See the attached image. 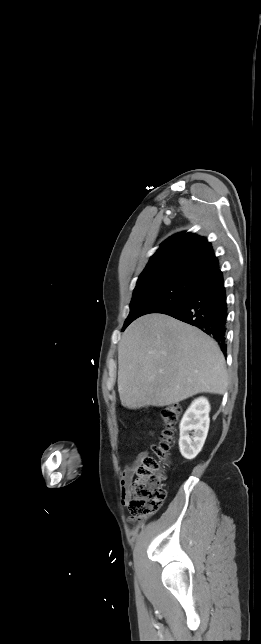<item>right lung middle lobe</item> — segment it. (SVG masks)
Here are the masks:
<instances>
[{
    "mask_svg": "<svg viewBox=\"0 0 261 644\" xmlns=\"http://www.w3.org/2000/svg\"><path fill=\"white\" fill-rule=\"evenodd\" d=\"M195 284V281L183 278H168L136 286L130 313L122 330L142 315L161 313L179 304L190 294Z\"/></svg>",
    "mask_w": 261,
    "mask_h": 644,
    "instance_id": "dd1d6c3e",
    "label": "right lung middle lobe"
}]
</instances>
